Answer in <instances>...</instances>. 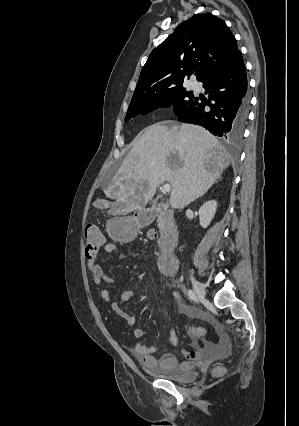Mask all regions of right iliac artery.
<instances>
[{
  "label": "right iliac artery",
  "mask_w": 299,
  "mask_h": 426,
  "mask_svg": "<svg viewBox=\"0 0 299 426\" xmlns=\"http://www.w3.org/2000/svg\"><path fill=\"white\" fill-rule=\"evenodd\" d=\"M188 297L191 301L195 300L196 296L195 293L192 290H188Z\"/></svg>",
  "instance_id": "82829eb1"
}]
</instances>
